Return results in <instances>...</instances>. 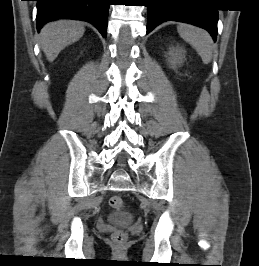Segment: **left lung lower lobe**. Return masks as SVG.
<instances>
[{
    "instance_id": "1",
    "label": "left lung lower lobe",
    "mask_w": 259,
    "mask_h": 266,
    "mask_svg": "<svg viewBox=\"0 0 259 266\" xmlns=\"http://www.w3.org/2000/svg\"><path fill=\"white\" fill-rule=\"evenodd\" d=\"M147 34L162 22L173 20L206 29L214 41L217 36L218 10L206 7L205 1L195 5L190 0H147Z\"/></svg>"
}]
</instances>
